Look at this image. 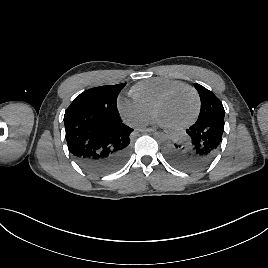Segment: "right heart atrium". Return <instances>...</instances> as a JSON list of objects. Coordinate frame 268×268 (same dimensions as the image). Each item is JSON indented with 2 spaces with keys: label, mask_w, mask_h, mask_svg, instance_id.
Segmentation results:
<instances>
[{
  "label": "right heart atrium",
  "mask_w": 268,
  "mask_h": 268,
  "mask_svg": "<svg viewBox=\"0 0 268 268\" xmlns=\"http://www.w3.org/2000/svg\"><path fill=\"white\" fill-rule=\"evenodd\" d=\"M117 108L121 116L133 125L142 126L152 117L151 109L125 97L118 99Z\"/></svg>",
  "instance_id": "obj_1"
}]
</instances>
